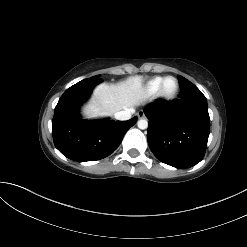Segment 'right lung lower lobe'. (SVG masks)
Listing matches in <instances>:
<instances>
[{
	"label": "right lung lower lobe",
	"mask_w": 247,
	"mask_h": 247,
	"mask_svg": "<svg viewBox=\"0 0 247 247\" xmlns=\"http://www.w3.org/2000/svg\"><path fill=\"white\" fill-rule=\"evenodd\" d=\"M98 83H87L84 80L76 83L65 91L55 107L52 120L53 141L56 148L69 159L84 162L109 156L137 121V117L116 122L108 119H81L79 107Z\"/></svg>",
	"instance_id": "1"
}]
</instances>
